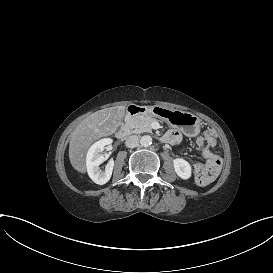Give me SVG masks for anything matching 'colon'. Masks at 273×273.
Segmentation results:
<instances>
[{
  "label": "colon",
  "mask_w": 273,
  "mask_h": 273,
  "mask_svg": "<svg viewBox=\"0 0 273 273\" xmlns=\"http://www.w3.org/2000/svg\"><path fill=\"white\" fill-rule=\"evenodd\" d=\"M221 159L219 156L210 157L207 164L201 168L202 185L208 184L211 179H214L220 169Z\"/></svg>",
  "instance_id": "colon-1"
}]
</instances>
